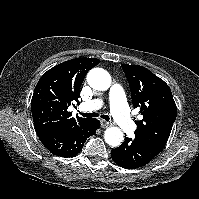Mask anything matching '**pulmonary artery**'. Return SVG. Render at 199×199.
Instances as JSON below:
<instances>
[{
	"mask_svg": "<svg viewBox=\"0 0 199 199\" xmlns=\"http://www.w3.org/2000/svg\"><path fill=\"white\" fill-rule=\"evenodd\" d=\"M110 109L118 125L126 132L135 128V123L129 114L125 95L119 84H112L109 89ZM102 106L101 99H93L81 104L80 109L83 111H94Z\"/></svg>",
	"mask_w": 199,
	"mask_h": 199,
	"instance_id": "pulmonary-artery-1",
	"label": "pulmonary artery"
}]
</instances>
